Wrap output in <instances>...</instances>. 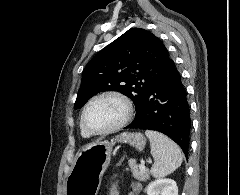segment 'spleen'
I'll use <instances>...</instances> for the list:
<instances>
[{"label":"spleen","mask_w":240,"mask_h":195,"mask_svg":"<svg viewBox=\"0 0 240 195\" xmlns=\"http://www.w3.org/2000/svg\"><path fill=\"white\" fill-rule=\"evenodd\" d=\"M145 135L149 137L151 155L155 161L150 169L154 177H165L175 171L182 163V153L179 145L160 131L146 129Z\"/></svg>","instance_id":"3e777b00"}]
</instances>
